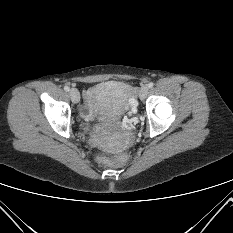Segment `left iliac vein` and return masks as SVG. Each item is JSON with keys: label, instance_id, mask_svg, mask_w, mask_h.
Returning a JSON list of instances; mask_svg holds the SVG:
<instances>
[{"label": "left iliac vein", "instance_id": "4c4485c4", "mask_svg": "<svg viewBox=\"0 0 233 233\" xmlns=\"http://www.w3.org/2000/svg\"><path fill=\"white\" fill-rule=\"evenodd\" d=\"M149 92V88L147 86H143L141 89H140V92H139V97L141 100L145 99L147 94Z\"/></svg>", "mask_w": 233, "mask_h": 233}]
</instances>
